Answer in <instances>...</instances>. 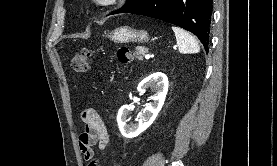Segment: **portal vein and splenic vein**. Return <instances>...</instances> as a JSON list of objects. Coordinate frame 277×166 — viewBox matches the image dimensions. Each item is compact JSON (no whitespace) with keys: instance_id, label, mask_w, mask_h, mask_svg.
<instances>
[{"instance_id":"portal-vein-and-splenic-vein-1","label":"portal vein and splenic vein","mask_w":277,"mask_h":166,"mask_svg":"<svg viewBox=\"0 0 277 166\" xmlns=\"http://www.w3.org/2000/svg\"><path fill=\"white\" fill-rule=\"evenodd\" d=\"M145 58H146V59H149V58H150V54H146V55H145Z\"/></svg>"}]
</instances>
